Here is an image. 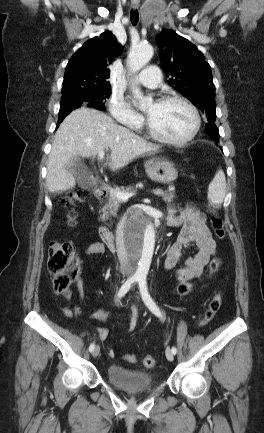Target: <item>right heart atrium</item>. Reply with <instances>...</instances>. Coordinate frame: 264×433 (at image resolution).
Instances as JSON below:
<instances>
[{"label":"right heart atrium","instance_id":"d8ad5b80","mask_svg":"<svg viewBox=\"0 0 264 433\" xmlns=\"http://www.w3.org/2000/svg\"><path fill=\"white\" fill-rule=\"evenodd\" d=\"M109 111L116 121L126 126L138 128L142 124V118L129 106L121 95L112 97Z\"/></svg>","mask_w":264,"mask_h":433}]
</instances>
